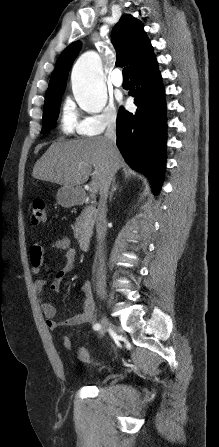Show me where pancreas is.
<instances>
[{"instance_id": "cf45deb5", "label": "pancreas", "mask_w": 219, "mask_h": 447, "mask_svg": "<svg viewBox=\"0 0 219 447\" xmlns=\"http://www.w3.org/2000/svg\"><path fill=\"white\" fill-rule=\"evenodd\" d=\"M93 199V197L91 196ZM97 209L90 206L83 210L81 215L76 219L74 236L75 238L90 237L92 235L93 226L97 217Z\"/></svg>"}]
</instances>
